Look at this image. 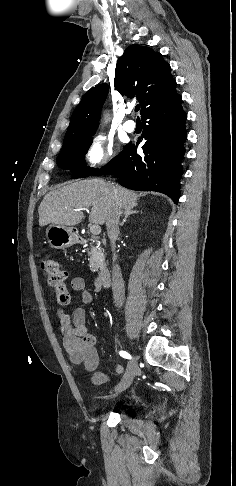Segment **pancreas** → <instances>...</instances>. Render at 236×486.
<instances>
[{
    "instance_id": "obj_1",
    "label": "pancreas",
    "mask_w": 236,
    "mask_h": 486,
    "mask_svg": "<svg viewBox=\"0 0 236 486\" xmlns=\"http://www.w3.org/2000/svg\"><path fill=\"white\" fill-rule=\"evenodd\" d=\"M90 259V269L93 272L106 268L104 250L98 246H92L88 252Z\"/></svg>"
}]
</instances>
